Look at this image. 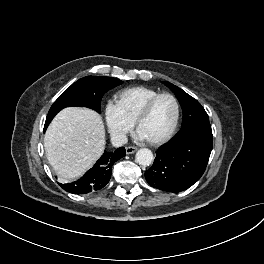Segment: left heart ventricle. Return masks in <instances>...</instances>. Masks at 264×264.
<instances>
[{
    "label": "left heart ventricle",
    "mask_w": 264,
    "mask_h": 264,
    "mask_svg": "<svg viewBox=\"0 0 264 264\" xmlns=\"http://www.w3.org/2000/svg\"><path fill=\"white\" fill-rule=\"evenodd\" d=\"M174 101L168 97L160 98L153 106L149 116L142 122L139 132L146 139H157L166 134L175 118Z\"/></svg>",
    "instance_id": "obj_1"
}]
</instances>
